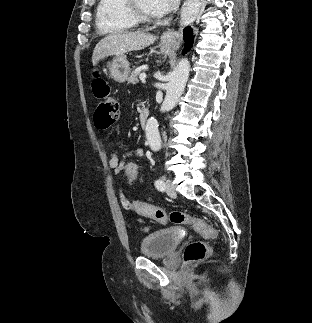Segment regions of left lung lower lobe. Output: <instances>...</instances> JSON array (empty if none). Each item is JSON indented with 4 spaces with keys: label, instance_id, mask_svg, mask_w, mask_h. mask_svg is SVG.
<instances>
[{
    "label": "left lung lower lobe",
    "instance_id": "1",
    "mask_svg": "<svg viewBox=\"0 0 312 323\" xmlns=\"http://www.w3.org/2000/svg\"><path fill=\"white\" fill-rule=\"evenodd\" d=\"M183 33H184V40L186 42L184 50H183V54H185L190 50V48L193 44L194 35H193V30L190 27H186L183 30Z\"/></svg>",
    "mask_w": 312,
    "mask_h": 323
}]
</instances>
